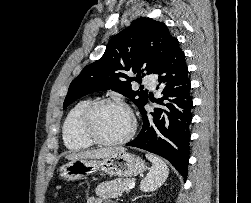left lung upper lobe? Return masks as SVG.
<instances>
[{"label": "left lung upper lobe", "instance_id": "5c2ea615", "mask_svg": "<svg viewBox=\"0 0 251 203\" xmlns=\"http://www.w3.org/2000/svg\"><path fill=\"white\" fill-rule=\"evenodd\" d=\"M167 26L150 18H139L109 41L103 56L83 71L70 84L63 109L87 94L116 91L132 100L139 110L148 101V91H133L132 72L141 77L146 71L152 74L167 57L175 41ZM145 74H142L144 76Z\"/></svg>", "mask_w": 251, "mask_h": 203}]
</instances>
